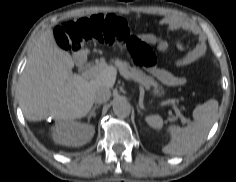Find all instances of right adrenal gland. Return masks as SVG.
I'll return each mask as SVG.
<instances>
[{
  "label": "right adrenal gland",
  "instance_id": "right-adrenal-gland-1",
  "mask_svg": "<svg viewBox=\"0 0 236 182\" xmlns=\"http://www.w3.org/2000/svg\"><path fill=\"white\" fill-rule=\"evenodd\" d=\"M99 107H100V104H96V105L92 108L91 112H90L89 115H88V121H90L91 117H95V116H96L95 110H96L97 108H99Z\"/></svg>",
  "mask_w": 236,
  "mask_h": 182
}]
</instances>
